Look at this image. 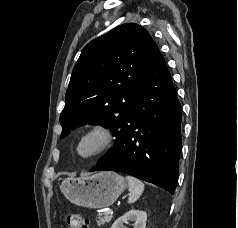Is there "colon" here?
I'll list each match as a JSON object with an SVG mask.
<instances>
[{"mask_svg": "<svg viewBox=\"0 0 238 228\" xmlns=\"http://www.w3.org/2000/svg\"><path fill=\"white\" fill-rule=\"evenodd\" d=\"M67 228H90L89 220L79 213H68L62 217Z\"/></svg>", "mask_w": 238, "mask_h": 228, "instance_id": "5ec220e1", "label": "colon"}]
</instances>
